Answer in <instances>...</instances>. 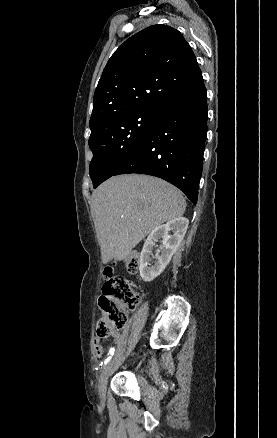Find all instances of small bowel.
<instances>
[{"label": "small bowel", "instance_id": "small-bowel-1", "mask_svg": "<svg viewBox=\"0 0 277 438\" xmlns=\"http://www.w3.org/2000/svg\"><path fill=\"white\" fill-rule=\"evenodd\" d=\"M112 340H113V343L115 345H120L122 342V335L120 334V332H117V331L114 332L112 334ZM92 344H93V346L98 347V346H100L101 341H100V339L95 338V339H93ZM96 354H97V356H100L102 354V347H101V351H99V352L96 351Z\"/></svg>", "mask_w": 277, "mask_h": 438}]
</instances>
